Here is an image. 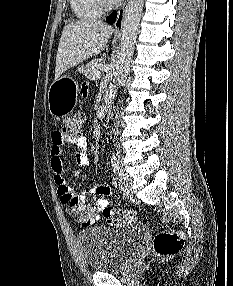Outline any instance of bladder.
<instances>
[{
  "label": "bladder",
  "instance_id": "31cf9c89",
  "mask_svg": "<svg viewBox=\"0 0 233 286\" xmlns=\"http://www.w3.org/2000/svg\"><path fill=\"white\" fill-rule=\"evenodd\" d=\"M146 237L143 225L119 228L93 226L78 233L87 267L93 272H112L126 267Z\"/></svg>",
  "mask_w": 233,
  "mask_h": 286
}]
</instances>
